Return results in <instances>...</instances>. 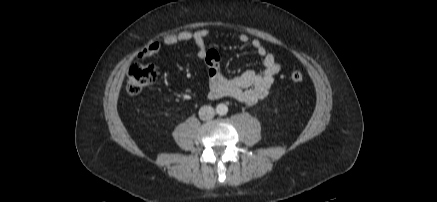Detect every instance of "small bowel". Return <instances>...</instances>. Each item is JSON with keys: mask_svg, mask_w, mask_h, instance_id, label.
<instances>
[{"mask_svg": "<svg viewBox=\"0 0 437 202\" xmlns=\"http://www.w3.org/2000/svg\"><path fill=\"white\" fill-rule=\"evenodd\" d=\"M210 32L206 29L197 31H181L163 37L161 42H152L137 56L139 61L145 60L162 49L163 45L172 46L183 42H193L197 47V55L207 67L208 97L210 99L232 98L246 105H253L264 99L281 70L275 55L258 39H250L246 34L239 35V41L250 44L255 53L262 59L263 70L256 72L246 70L239 75L228 77L220 70V58L213 49H208L206 40Z\"/></svg>", "mask_w": 437, "mask_h": 202, "instance_id": "small-bowel-1", "label": "small bowel"}]
</instances>
